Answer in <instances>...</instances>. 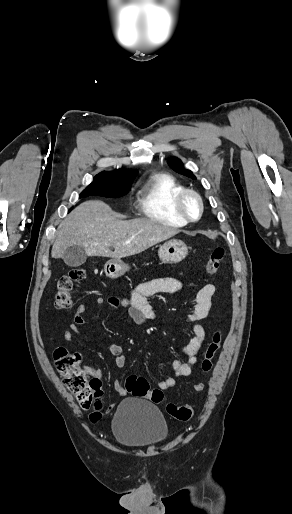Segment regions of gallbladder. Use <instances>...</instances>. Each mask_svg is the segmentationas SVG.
I'll use <instances>...</instances> for the list:
<instances>
[{
  "instance_id": "bac80fb5",
  "label": "gallbladder",
  "mask_w": 292,
  "mask_h": 514,
  "mask_svg": "<svg viewBox=\"0 0 292 514\" xmlns=\"http://www.w3.org/2000/svg\"><path fill=\"white\" fill-rule=\"evenodd\" d=\"M62 260H64L67 266L77 268V266H82V264L86 262L87 254L82 246H68V248L64 250Z\"/></svg>"
}]
</instances>
